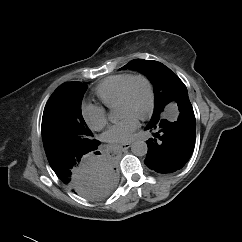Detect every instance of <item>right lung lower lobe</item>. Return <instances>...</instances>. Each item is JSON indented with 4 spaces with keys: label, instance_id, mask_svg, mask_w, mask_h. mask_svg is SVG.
Here are the masks:
<instances>
[{
    "label": "right lung lower lobe",
    "instance_id": "obj_1",
    "mask_svg": "<svg viewBox=\"0 0 242 242\" xmlns=\"http://www.w3.org/2000/svg\"><path fill=\"white\" fill-rule=\"evenodd\" d=\"M94 150L58 159L50 166L62 183L76 194L90 200H102L115 188L118 174L110 157L92 159L90 154Z\"/></svg>",
    "mask_w": 242,
    "mask_h": 242
}]
</instances>
